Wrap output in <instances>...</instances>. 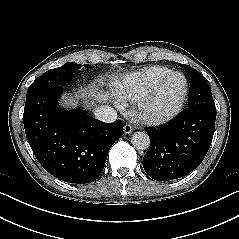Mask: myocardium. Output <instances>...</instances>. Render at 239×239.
Here are the masks:
<instances>
[{
	"label": "myocardium",
	"mask_w": 239,
	"mask_h": 239,
	"mask_svg": "<svg viewBox=\"0 0 239 239\" xmlns=\"http://www.w3.org/2000/svg\"><path fill=\"white\" fill-rule=\"evenodd\" d=\"M179 76L183 80L182 91L177 98L174 105L165 113L162 114H152L148 111V104L153 97V95L160 89V87L167 82L169 79ZM189 91L188 81L186 76L178 71H171L166 75L157 79L148 90L139 98L137 101L134 114L138 121L150 126H159L171 122L177 118L183 110L184 104L187 99Z\"/></svg>",
	"instance_id": "1"
}]
</instances>
